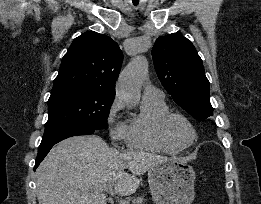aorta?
Masks as SVG:
<instances>
[{"mask_svg":"<svg viewBox=\"0 0 261 204\" xmlns=\"http://www.w3.org/2000/svg\"><path fill=\"white\" fill-rule=\"evenodd\" d=\"M148 71L144 56H136L121 72L116 94L129 108L135 107L141 97V85Z\"/></svg>","mask_w":261,"mask_h":204,"instance_id":"1","label":"aorta"}]
</instances>
